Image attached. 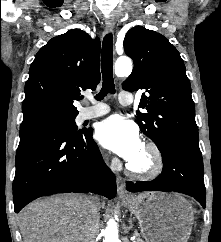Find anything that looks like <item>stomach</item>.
<instances>
[{"label": "stomach", "instance_id": "stomach-1", "mask_svg": "<svg viewBox=\"0 0 221 242\" xmlns=\"http://www.w3.org/2000/svg\"><path fill=\"white\" fill-rule=\"evenodd\" d=\"M136 216L145 242H187L194 215L180 195L146 192L123 200Z\"/></svg>", "mask_w": 221, "mask_h": 242}]
</instances>
